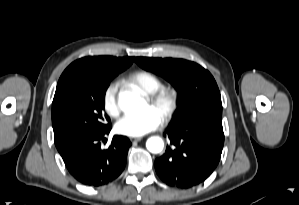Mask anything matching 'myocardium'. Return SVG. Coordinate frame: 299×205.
Here are the masks:
<instances>
[{"label":"myocardium","instance_id":"f54148a6","mask_svg":"<svg viewBox=\"0 0 299 205\" xmlns=\"http://www.w3.org/2000/svg\"><path fill=\"white\" fill-rule=\"evenodd\" d=\"M146 99L153 108L161 109V120L170 121L179 106V92L173 87H160L156 91L147 94Z\"/></svg>","mask_w":299,"mask_h":205}]
</instances>
